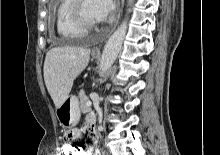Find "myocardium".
I'll return each instance as SVG.
<instances>
[{
  "instance_id": "myocardium-1",
  "label": "myocardium",
  "mask_w": 220,
  "mask_h": 155,
  "mask_svg": "<svg viewBox=\"0 0 220 155\" xmlns=\"http://www.w3.org/2000/svg\"><path fill=\"white\" fill-rule=\"evenodd\" d=\"M82 2L83 0H73L70 8V17L76 26L88 31L95 28L98 23L97 21H92L85 17L82 9Z\"/></svg>"
}]
</instances>
